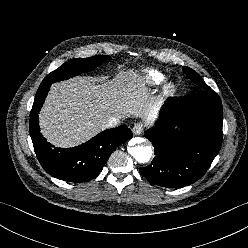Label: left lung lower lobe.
I'll return each instance as SVG.
<instances>
[{"mask_svg": "<svg viewBox=\"0 0 248 248\" xmlns=\"http://www.w3.org/2000/svg\"><path fill=\"white\" fill-rule=\"evenodd\" d=\"M222 121L221 99L212 90L168 98L156 125L144 133L156 156L140 173L162 187L194 183L220 150Z\"/></svg>", "mask_w": 248, "mask_h": 248, "instance_id": "left-lung-lower-lobe-1", "label": "left lung lower lobe"}]
</instances>
